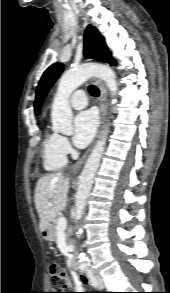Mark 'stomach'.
Returning a JSON list of instances; mask_svg holds the SVG:
<instances>
[{
	"label": "stomach",
	"instance_id": "1",
	"mask_svg": "<svg viewBox=\"0 0 170 293\" xmlns=\"http://www.w3.org/2000/svg\"><path fill=\"white\" fill-rule=\"evenodd\" d=\"M47 241H52L53 237H52V232L50 230V228L47 230L45 237H44Z\"/></svg>",
	"mask_w": 170,
	"mask_h": 293
}]
</instances>
